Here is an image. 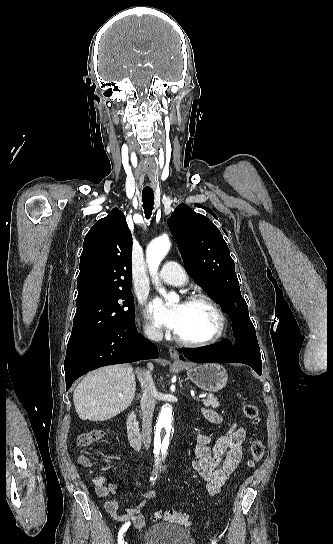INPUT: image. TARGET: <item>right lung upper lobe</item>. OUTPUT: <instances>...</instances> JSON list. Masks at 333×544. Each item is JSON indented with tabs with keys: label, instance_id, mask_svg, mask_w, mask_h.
I'll return each mask as SVG.
<instances>
[{
	"label": "right lung upper lobe",
	"instance_id": "obj_1",
	"mask_svg": "<svg viewBox=\"0 0 333 544\" xmlns=\"http://www.w3.org/2000/svg\"><path fill=\"white\" fill-rule=\"evenodd\" d=\"M132 235L124 214L114 208L84 239L77 278V300L131 289Z\"/></svg>",
	"mask_w": 333,
	"mask_h": 544
}]
</instances>
